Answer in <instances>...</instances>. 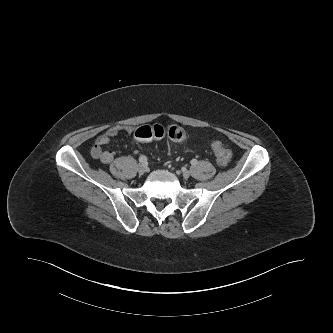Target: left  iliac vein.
Wrapping results in <instances>:
<instances>
[{
  "label": "left iliac vein",
  "mask_w": 333,
  "mask_h": 333,
  "mask_svg": "<svg viewBox=\"0 0 333 333\" xmlns=\"http://www.w3.org/2000/svg\"><path fill=\"white\" fill-rule=\"evenodd\" d=\"M182 176L183 178L188 179L190 177V172L188 170H183Z\"/></svg>",
  "instance_id": "1"
}]
</instances>
